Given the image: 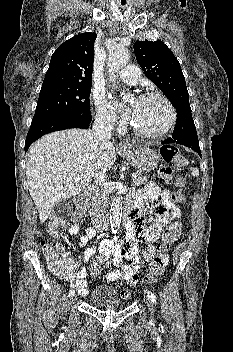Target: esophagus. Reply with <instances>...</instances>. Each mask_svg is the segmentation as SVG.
Segmentation results:
<instances>
[{"mask_svg":"<svg viewBox=\"0 0 233 352\" xmlns=\"http://www.w3.org/2000/svg\"><path fill=\"white\" fill-rule=\"evenodd\" d=\"M119 147L123 148V149H127L129 146H128V144L126 142H120L119 143Z\"/></svg>","mask_w":233,"mask_h":352,"instance_id":"34e87169","label":"esophagus"}]
</instances>
